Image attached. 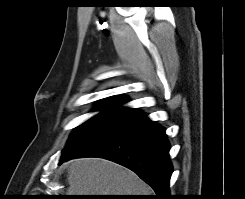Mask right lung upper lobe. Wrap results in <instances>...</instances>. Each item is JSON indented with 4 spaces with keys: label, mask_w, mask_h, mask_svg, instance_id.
I'll return each instance as SVG.
<instances>
[{
    "label": "right lung upper lobe",
    "mask_w": 245,
    "mask_h": 199,
    "mask_svg": "<svg viewBox=\"0 0 245 199\" xmlns=\"http://www.w3.org/2000/svg\"><path fill=\"white\" fill-rule=\"evenodd\" d=\"M126 101L127 100L123 97L112 96L104 100L98 109L102 110V112L124 115L126 117L141 113V111L138 109L121 106Z\"/></svg>",
    "instance_id": "right-lung-upper-lobe-1"
}]
</instances>
